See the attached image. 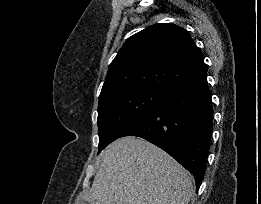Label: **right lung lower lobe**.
Wrapping results in <instances>:
<instances>
[{
  "label": "right lung lower lobe",
  "mask_w": 261,
  "mask_h": 204,
  "mask_svg": "<svg viewBox=\"0 0 261 204\" xmlns=\"http://www.w3.org/2000/svg\"><path fill=\"white\" fill-rule=\"evenodd\" d=\"M213 127L211 92L204 65L169 88L161 101L120 137L138 136L155 144L188 171L199 189Z\"/></svg>",
  "instance_id": "1"
}]
</instances>
